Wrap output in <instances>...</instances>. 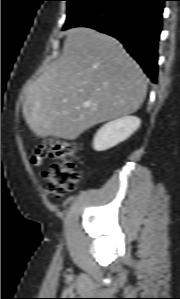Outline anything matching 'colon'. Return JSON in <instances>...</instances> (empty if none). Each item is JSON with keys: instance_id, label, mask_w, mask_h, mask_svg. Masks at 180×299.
Segmentation results:
<instances>
[{"instance_id": "5ec220e1", "label": "colon", "mask_w": 180, "mask_h": 299, "mask_svg": "<svg viewBox=\"0 0 180 299\" xmlns=\"http://www.w3.org/2000/svg\"><path fill=\"white\" fill-rule=\"evenodd\" d=\"M76 147L74 142L53 139L39 144L34 150L31 162L39 165L46 158L54 162L43 174L42 188L49 197H62L73 191L80 182V172L75 169Z\"/></svg>"}]
</instances>
